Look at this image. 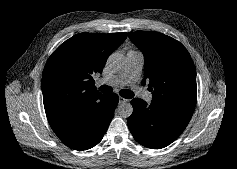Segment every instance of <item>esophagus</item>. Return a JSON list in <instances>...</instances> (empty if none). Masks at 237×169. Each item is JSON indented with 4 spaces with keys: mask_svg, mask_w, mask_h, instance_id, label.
<instances>
[{
    "mask_svg": "<svg viewBox=\"0 0 237 169\" xmlns=\"http://www.w3.org/2000/svg\"><path fill=\"white\" fill-rule=\"evenodd\" d=\"M127 100L123 97H120V102H126Z\"/></svg>",
    "mask_w": 237,
    "mask_h": 169,
    "instance_id": "esophagus-1",
    "label": "esophagus"
}]
</instances>
